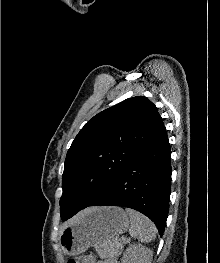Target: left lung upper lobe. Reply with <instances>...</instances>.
<instances>
[{"mask_svg":"<svg viewBox=\"0 0 220 263\" xmlns=\"http://www.w3.org/2000/svg\"><path fill=\"white\" fill-rule=\"evenodd\" d=\"M163 126L156 106L143 96L126 99L89 120L66 155L61 217L93 202Z\"/></svg>","mask_w":220,"mask_h":263,"instance_id":"left-lung-upper-lobe-1","label":"left lung upper lobe"}]
</instances>
